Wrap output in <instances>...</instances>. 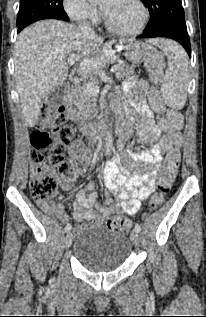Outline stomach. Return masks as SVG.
I'll use <instances>...</instances> for the list:
<instances>
[{"mask_svg":"<svg viewBox=\"0 0 206 317\" xmlns=\"http://www.w3.org/2000/svg\"><path fill=\"white\" fill-rule=\"evenodd\" d=\"M129 66H143L152 56V47L142 42H128L123 46ZM106 55H96L95 59H82V66L78 67V74H95L100 62H106Z\"/></svg>","mask_w":206,"mask_h":317,"instance_id":"0dacf381","label":"stomach"}]
</instances>
